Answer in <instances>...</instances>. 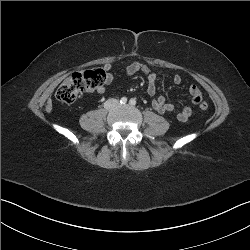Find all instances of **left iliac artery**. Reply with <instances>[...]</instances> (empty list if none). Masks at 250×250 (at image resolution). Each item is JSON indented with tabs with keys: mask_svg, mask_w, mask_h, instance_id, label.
<instances>
[{
	"mask_svg": "<svg viewBox=\"0 0 250 250\" xmlns=\"http://www.w3.org/2000/svg\"><path fill=\"white\" fill-rule=\"evenodd\" d=\"M129 103H130L131 105H135V104H136V100H135V99H131V100L129 101Z\"/></svg>",
	"mask_w": 250,
	"mask_h": 250,
	"instance_id": "obj_1",
	"label": "left iliac artery"
}]
</instances>
